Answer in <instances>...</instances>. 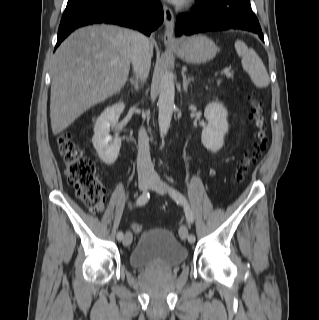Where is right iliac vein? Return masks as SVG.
<instances>
[{
    "label": "right iliac vein",
    "mask_w": 319,
    "mask_h": 320,
    "mask_svg": "<svg viewBox=\"0 0 319 320\" xmlns=\"http://www.w3.org/2000/svg\"><path fill=\"white\" fill-rule=\"evenodd\" d=\"M150 184H151V179L148 177H142L138 181V187L141 191H145ZM131 242H132V234L129 231H127L123 238V245L129 246Z\"/></svg>",
    "instance_id": "obj_1"
}]
</instances>
